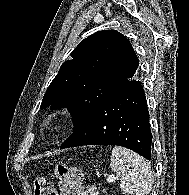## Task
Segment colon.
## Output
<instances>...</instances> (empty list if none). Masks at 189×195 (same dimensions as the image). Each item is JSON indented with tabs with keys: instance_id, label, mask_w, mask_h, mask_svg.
<instances>
[{
	"instance_id": "colon-1",
	"label": "colon",
	"mask_w": 189,
	"mask_h": 195,
	"mask_svg": "<svg viewBox=\"0 0 189 195\" xmlns=\"http://www.w3.org/2000/svg\"><path fill=\"white\" fill-rule=\"evenodd\" d=\"M56 176L59 180L58 189L49 179L36 178L34 181L35 195H84L85 188L79 170L60 164L56 167Z\"/></svg>"
}]
</instances>
